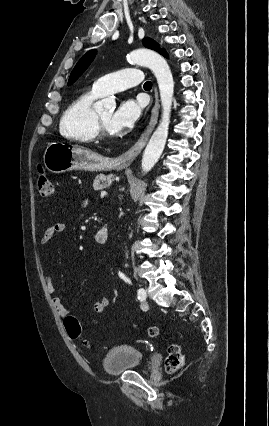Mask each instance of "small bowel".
<instances>
[{
    "label": "small bowel",
    "instance_id": "c3829d8e",
    "mask_svg": "<svg viewBox=\"0 0 269 426\" xmlns=\"http://www.w3.org/2000/svg\"><path fill=\"white\" fill-rule=\"evenodd\" d=\"M66 226L63 222H56L52 224L43 234L41 238V245L43 247L42 255L44 258L47 257V250L50 242L54 237L64 232ZM46 287L47 291L50 294H54L56 291L53 278L50 274L46 275ZM53 305L61 317H66L68 315V311L65 307L64 300L60 296H53L52 298ZM109 306V300L106 297L98 298L94 304L93 309L96 314H102L107 307Z\"/></svg>",
    "mask_w": 269,
    "mask_h": 426
}]
</instances>
